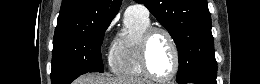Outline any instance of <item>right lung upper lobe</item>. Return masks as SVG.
Here are the masks:
<instances>
[{
	"instance_id": "right-lung-upper-lobe-1",
	"label": "right lung upper lobe",
	"mask_w": 260,
	"mask_h": 84,
	"mask_svg": "<svg viewBox=\"0 0 260 84\" xmlns=\"http://www.w3.org/2000/svg\"><path fill=\"white\" fill-rule=\"evenodd\" d=\"M121 0H63L54 37L67 35L90 23L112 20Z\"/></svg>"
}]
</instances>
